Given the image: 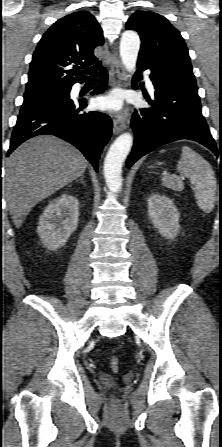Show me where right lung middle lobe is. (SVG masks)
Masks as SVG:
<instances>
[{"mask_svg":"<svg viewBox=\"0 0 222 447\" xmlns=\"http://www.w3.org/2000/svg\"><path fill=\"white\" fill-rule=\"evenodd\" d=\"M70 90L58 91L52 93L24 95V102L20 114L35 111L51 104L61 102L69 98Z\"/></svg>","mask_w":222,"mask_h":447,"instance_id":"right-lung-middle-lobe-1","label":"right lung middle lobe"}]
</instances>
